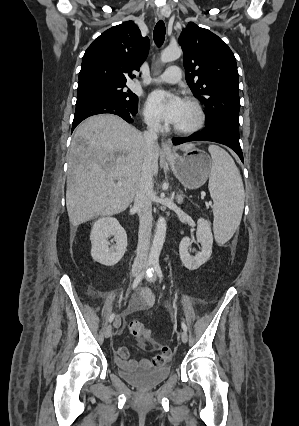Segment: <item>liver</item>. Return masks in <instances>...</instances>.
<instances>
[{"instance_id":"liver-1","label":"liver","mask_w":299,"mask_h":426,"mask_svg":"<svg viewBox=\"0 0 299 426\" xmlns=\"http://www.w3.org/2000/svg\"><path fill=\"white\" fill-rule=\"evenodd\" d=\"M193 144L180 146L190 150ZM144 137L116 115L92 116L75 130L68 156L66 207L70 224L126 210L141 176ZM159 147L151 154L152 175L158 173ZM117 181V183H116Z\"/></svg>"}]
</instances>
